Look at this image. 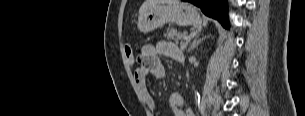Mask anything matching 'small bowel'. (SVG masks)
Segmentation results:
<instances>
[{
  "instance_id": "small-bowel-1",
  "label": "small bowel",
  "mask_w": 305,
  "mask_h": 116,
  "mask_svg": "<svg viewBox=\"0 0 305 116\" xmlns=\"http://www.w3.org/2000/svg\"><path fill=\"white\" fill-rule=\"evenodd\" d=\"M160 55L175 60L182 57L178 47L172 43L158 42L156 45H145L141 50L140 65L134 72V78L143 100L152 111L156 110L159 104L149 92L147 76L152 75L156 79L165 76V68L159 59ZM167 106L174 116H194L191 109L186 106L184 97L179 93L170 95Z\"/></svg>"
}]
</instances>
